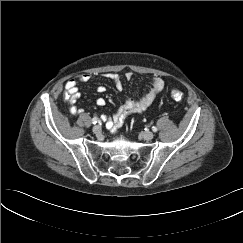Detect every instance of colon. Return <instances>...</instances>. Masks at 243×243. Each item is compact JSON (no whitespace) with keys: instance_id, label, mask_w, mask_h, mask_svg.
<instances>
[{"instance_id":"colon-1","label":"colon","mask_w":243,"mask_h":243,"mask_svg":"<svg viewBox=\"0 0 243 243\" xmlns=\"http://www.w3.org/2000/svg\"><path fill=\"white\" fill-rule=\"evenodd\" d=\"M171 96H172L173 99L180 101L183 98V93L179 90H173L171 92Z\"/></svg>"}]
</instances>
